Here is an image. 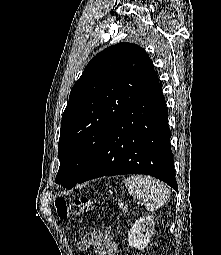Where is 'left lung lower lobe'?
Returning a JSON list of instances; mask_svg holds the SVG:
<instances>
[{
    "label": "left lung lower lobe",
    "instance_id": "0a47b994",
    "mask_svg": "<svg viewBox=\"0 0 221 255\" xmlns=\"http://www.w3.org/2000/svg\"><path fill=\"white\" fill-rule=\"evenodd\" d=\"M170 137L166 101L158 81L114 123L77 183L102 176L148 174L178 191Z\"/></svg>",
    "mask_w": 221,
    "mask_h": 255
}]
</instances>
